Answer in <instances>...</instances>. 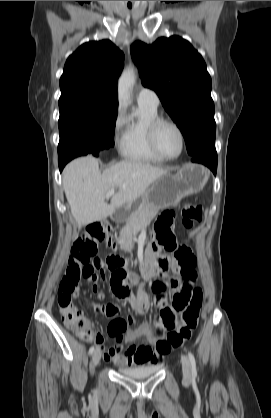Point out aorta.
<instances>
[{"label": "aorta", "mask_w": 271, "mask_h": 418, "mask_svg": "<svg viewBox=\"0 0 271 418\" xmlns=\"http://www.w3.org/2000/svg\"><path fill=\"white\" fill-rule=\"evenodd\" d=\"M135 82V72L133 68H127L121 74L118 81V95L121 102L129 100L130 91Z\"/></svg>", "instance_id": "obj_1"}]
</instances>
